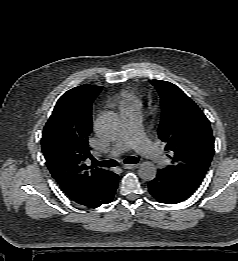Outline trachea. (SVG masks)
Returning a JSON list of instances; mask_svg holds the SVG:
<instances>
[{
	"label": "trachea",
	"instance_id": "1",
	"mask_svg": "<svg viewBox=\"0 0 238 261\" xmlns=\"http://www.w3.org/2000/svg\"><path fill=\"white\" fill-rule=\"evenodd\" d=\"M139 162V159L137 157H128L124 160L125 164H136ZM93 163L95 166L100 167H106L111 168L117 166V161L115 160H104V161H97L96 159H93Z\"/></svg>",
	"mask_w": 238,
	"mask_h": 261
}]
</instances>
